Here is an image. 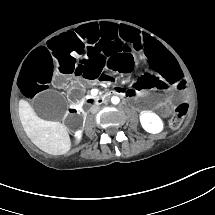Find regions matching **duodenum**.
<instances>
[{
	"instance_id": "obj_1",
	"label": "duodenum",
	"mask_w": 215,
	"mask_h": 215,
	"mask_svg": "<svg viewBox=\"0 0 215 215\" xmlns=\"http://www.w3.org/2000/svg\"><path fill=\"white\" fill-rule=\"evenodd\" d=\"M113 95H120V91L118 90H110L104 94H100L95 97H91L87 99L88 104H101L103 101H105L107 98ZM70 111L74 114H80L81 108L80 106L76 105L70 109Z\"/></svg>"
}]
</instances>
